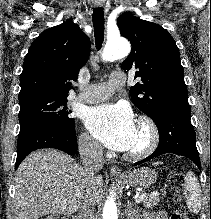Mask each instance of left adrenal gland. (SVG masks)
<instances>
[{"mask_svg":"<svg viewBox=\"0 0 211 219\" xmlns=\"http://www.w3.org/2000/svg\"><path fill=\"white\" fill-rule=\"evenodd\" d=\"M139 212H140V209L137 208V206L132 203H128L125 209V214H126L127 219H139L138 218Z\"/></svg>","mask_w":211,"mask_h":219,"instance_id":"1","label":"left adrenal gland"}]
</instances>
